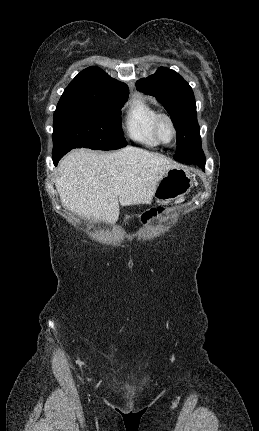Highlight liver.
Returning <instances> with one entry per match:
<instances>
[{
  "label": "liver",
  "instance_id": "liver-1",
  "mask_svg": "<svg viewBox=\"0 0 259 431\" xmlns=\"http://www.w3.org/2000/svg\"><path fill=\"white\" fill-rule=\"evenodd\" d=\"M169 159L128 146L114 153L73 150L58 165L55 186L64 207L85 218L112 224L122 206L150 204Z\"/></svg>",
  "mask_w": 259,
  "mask_h": 431
}]
</instances>
